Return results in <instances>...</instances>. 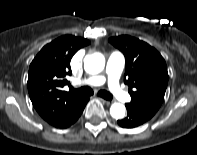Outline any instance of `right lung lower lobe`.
<instances>
[{"instance_id": "right-lung-lower-lobe-1", "label": "right lung lower lobe", "mask_w": 197, "mask_h": 155, "mask_svg": "<svg viewBox=\"0 0 197 155\" xmlns=\"http://www.w3.org/2000/svg\"><path fill=\"white\" fill-rule=\"evenodd\" d=\"M89 101L88 97H84L82 103L78 106V108L75 110V112L71 115V117L67 120L66 123H64L59 128H67L70 125H72L74 122L77 121V119L80 117L81 113L83 112L87 102Z\"/></svg>"}]
</instances>
